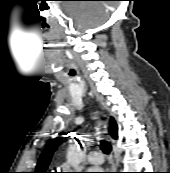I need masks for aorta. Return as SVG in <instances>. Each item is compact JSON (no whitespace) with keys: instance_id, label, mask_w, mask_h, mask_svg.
I'll return each mask as SVG.
<instances>
[{"instance_id":"obj_1","label":"aorta","mask_w":170,"mask_h":173,"mask_svg":"<svg viewBox=\"0 0 170 173\" xmlns=\"http://www.w3.org/2000/svg\"><path fill=\"white\" fill-rule=\"evenodd\" d=\"M67 159H68V162L70 163V165L73 168L77 169L79 167L80 163L82 162L83 154H82V152H80L77 149L70 150L68 152Z\"/></svg>"}]
</instances>
